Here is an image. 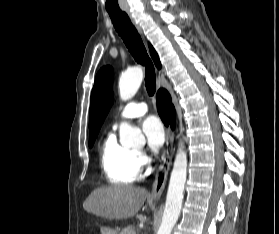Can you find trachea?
Returning a JSON list of instances; mask_svg holds the SVG:
<instances>
[{"instance_id":"trachea-1","label":"trachea","mask_w":279,"mask_h":234,"mask_svg":"<svg viewBox=\"0 0 279 234\" xmlns=\"http://www.w3.org/2000/svg\"><path fill=\"white\" fill-rule=\"evenodd\" d=\"M112 23L134 59L145 66V86L150 96L156 91L155 69L142 39L125 12H109Z\"/></svg>"}]
</instances>
